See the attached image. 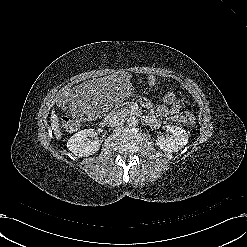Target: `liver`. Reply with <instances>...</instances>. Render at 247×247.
Wrapping results in <instances>:
<instances>
[{
    "mask_svg": "<svg viewBox=\"0 0 247 247\" xmlns=\"http://www.w3.org/2000/svg\"><path fill=\"white\" fill-rule=\"evenodd\" d=\"M50 121H51V128L53 130L56 139L60 140L62 137V133L60 130L59 119L58 116L55 114V111H52Z\"/></svg>",
    "mask_w": 247,
    "mask_h": 247,
    "instance_id": "obj_1",
    "label": "liver"
}]
</instances>
